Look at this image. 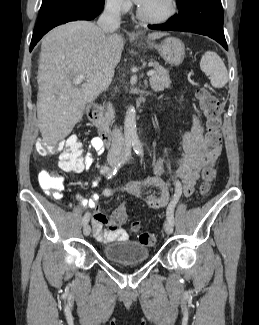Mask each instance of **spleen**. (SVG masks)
<instances>
[{
    "label": "spleen",
    "instance_id": "spleen-1",
    "mask_svg": "<svg viewBox=\"0 0 259 325\" xmlns=\"http://www.w3.org/2000/svg\"><path fill=\"white\" fill-rule=\"evenodd\" d=\"M201 70L209 76L211 85L222 88L228 82L226 66L219 55L214 51H207L200 61Z\"/></svg>",
    "mask_w": 259,
    "mask_h": 325
}]
</instances>
